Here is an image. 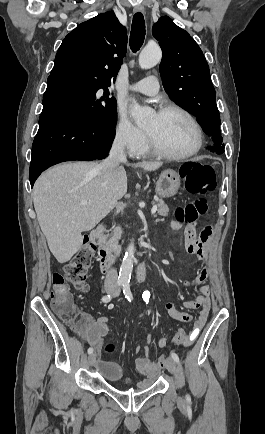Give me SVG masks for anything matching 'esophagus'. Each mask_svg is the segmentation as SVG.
Here are the masks:
<instances>
[{
    "instance_id": "34e87169",
    "label": "esophagus",
    "mask_w": 265,
    "mask_h": 434,
    "mask_svg": "<svg viewBox=\"0 0 265 434\" xmlns=\"http://www.w3.org/2000/svg\"><path fill=\"white\" fill-rule=\"evenodd\" d=\"M144 8L142 7V5H138L137 7L134 8V12H143Z\"/></svg>"
}]
</instances>
